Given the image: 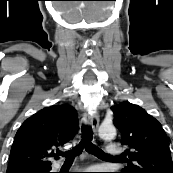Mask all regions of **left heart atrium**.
<instances>
[{"label": "left heart atrium", "instance_id": "1", "mask_svg": "<svg viewBox=\"0 0 173 173\" xmlns=\"http://www.w3.org/2000/svg\"><path fill=\"white\" fill-rule=\"evenodd\" d=\"M97 169H98V168H96V167H92V168H90L89 170H90V171H97Z\"/></svg>", "mask_w": 173, "mask_h": 173}]
</instances>
